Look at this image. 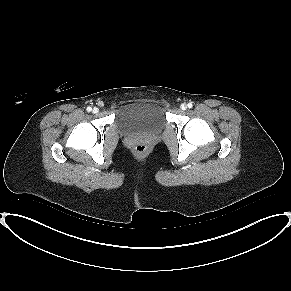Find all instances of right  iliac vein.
<instances>
[{
    "instance_id": "1",
    "label": "right iliac vein",
    "mask_w": 291,
    "mask_h": 291,
    "mask_svg": "<svg viewBox=\"0 0 291 291\" xmlns=\"http://www.w3.org/2000/svg\"><path fill=\"white\" fill-rule=\"evenodd\" d=\"M98 112H99L98 108L95 107V108L93 109V113L96 114V113H98Z\"/></svg>"
}]
</instances>
